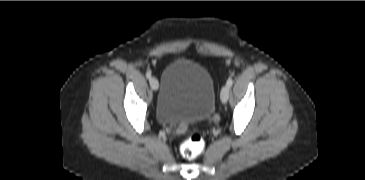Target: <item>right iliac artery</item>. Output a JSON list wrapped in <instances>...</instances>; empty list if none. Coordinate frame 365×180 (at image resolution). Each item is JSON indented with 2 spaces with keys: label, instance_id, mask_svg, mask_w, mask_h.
Returning a JSON list of instances; mask_svg holds the SVG:
<instances>
[{
  "label": "right iliac artery",
  "instance_id": "right-iliac-artery-1",
  "mask_svg": "<svg viewBox=\"0 0 365 180\" xmlns=\"http://www.w3.org/2000/svg\"><path fill=\"white\" fill-rule=\"evenodd\" d=\"M146 77H147L148 79H150V78H151V73H149V72H148V73L146 74Z\"/></svg>",
  "mask_w": 365,
  "mask_h": 180
}]
</instances>
